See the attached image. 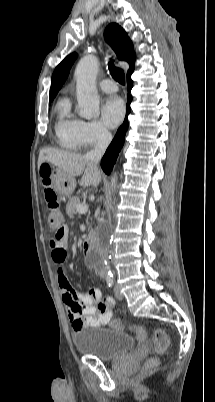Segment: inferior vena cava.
<instances>
[{
  "label": "inferior vena cava",
  "mask_w": 215,
  "mask_h": 402,
  "mask_svg": "<svg viewBox=\"0 0 215 402\" xmlns=\"http://www.w3.org/2000/svg\"><path fill=\"white\" fill-rule=\"evenodd\" d=\"M112 139L111 133L106 130L102 129L99 132L97 143L90 152L86 154V159L89 160L95 166L98 165L100 159L102 158L103 154L105 153L108 145L110 144Z\"/></svg>",
  "instance_id": "602c4592"
}]
</instances>
